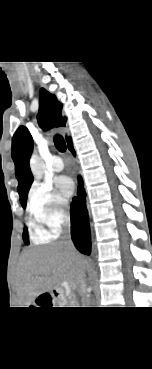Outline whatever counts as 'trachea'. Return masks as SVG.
<instances>
[{
    "label": "trachea",
    "mask_w": 152,
    "mask_h": 369,
    "mask_svg": "<svg viewBox=\"0 0 152 369\" xmlns=\"http://www.w3.org/2000/svg\"><path fill=\"white\" fill-rule=\"evenodd\" d=\"M54 143H55L57 150H59L60 152L66 151V143L64 141V138L61 135H56L54 137Z\"/></svg>",
    "instance_id": "obj_1"
}]
</instances>
